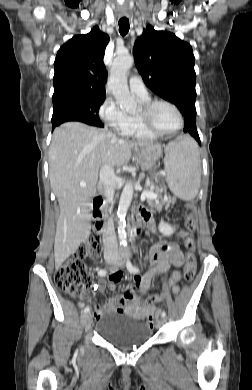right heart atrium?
Here are the masks:
<instances>
[{"label": "right heart atrium", "instance_id": "d8ad5b80", "mask_svg": "<svg viewBox=\"0 0 252 390\" xmlns=\"http://www.w3.org/2000/svg\"><path fill=\"white\" fill-rule=\"evenodd\" d=\"M99 116L118 135L128 136L131 127L130 116L113 99L107 98L102 103L99 109Z\"/></svg>", "mask_w": 252, "mask_h": 390}]
</instances>
